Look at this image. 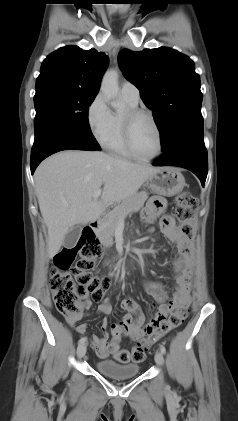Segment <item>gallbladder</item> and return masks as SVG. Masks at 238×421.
Instances as JSON below:
<instances>
[{"mask_svg": "<svg viewBox=\"0 0 238 421\" xmlns=\"http://www.w3.org/2000/svg\"><path fill=\"white\" fill-rule=\"evenodd\" d=\"M80 234H81V226H74L65 235L63 245L67 249H72L76 245V243H77V241L80 237Z\"/></svg>", "mask_w": 238, "mask_h": 421, "instance_id": "bac80fb5", "label": "gallbladder"}]
</instances>
